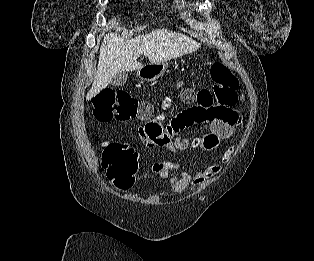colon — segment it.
<instances>
[{"label": "colon", "mask_w": 314, "mask_h": 261, "mask_svg": "<svg viewBox=\"0 0 314 261\" xmlns=\"http://www.w3.org/2000/svg\"><path fill=\"white\" fill-rule=\"evenodd\" d=\"M211 86L195 92L187 90L182 99L199 106L224 105L236 99L238 81L234 74L221 62L210 67ZM93 116L99 122L130 120L153 122L154 111L145 101H139L129 91L119 88L101 89L93 98ZM147 123V124H148ZM148 129H152L149 127ZM139 166V156L126 143L107 141L102 148V167L109 180L120 189L130 187Z\"/></svg>", "instance_id": "5ec220e1"}]
</instances>
